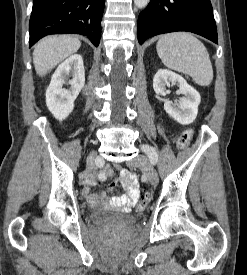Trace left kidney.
<instances>
[{
  "label": "left kidney",
  "mask_w": 247,
  "mask_h": 275,
  "mask_svg": "<svg viewBox=\"0 0 247 275\" xmlns=\"http://www.w3.org/2000/svg\"><path fill=\"white\" fill-rule=\"evenodd\" d=\"M170 84L177 85L178 92L184 97L178 103L166 100L164 110L178 123L188 125L196 119L198 105L201 101L200 94L181 75L166 69L158 70L153 79L155 93L165 96L168 92L166 86H170Z\"/></svg>",
  "instance_id": "1"
}]
</instances>
